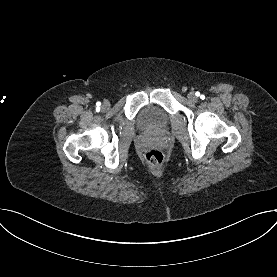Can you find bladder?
<instances>
[{"label": "bladder", "mask_w": 277, "mask_h": 277, "mask_svg": "<svg viewBox=\"0 0 277 277\" xmlns=\"http://www.w3.org/2000/svg\"><path fill=\"white\" fill-rule=\"evenodd\" d=\"M140 124L143 128L149 130H160L168 123L166 114L157 107H146L140 114Z\"/></svg>", "instance_id": "bladder-1"}]
</instances>
